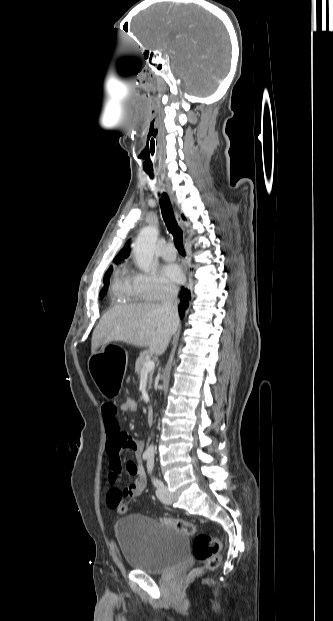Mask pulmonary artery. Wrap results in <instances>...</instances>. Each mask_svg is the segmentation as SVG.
Instances as JSON below:
<instances>
[{
  "mask_svg": "<svg viewBox=\"0 0 333 621\" xmlns=\"http://www.w3.org/2000/svg\"><path fill=\"white\" fill-rule=\"evenodd\" d=\"M162 257L165 260H174L176 258V250L172 243H167L162 249Z\"/></svg>",
  "mask_w": 333,
  "mask_h": 621,
  "instance_id": "e3ab8cb5",
  "label": "pulmonary artery"
}]
</instances>
